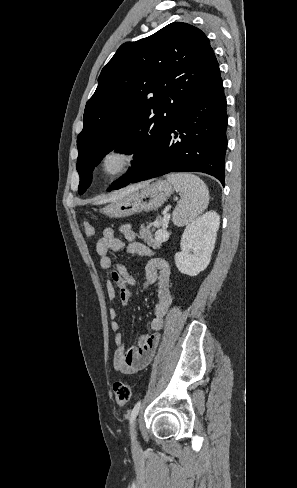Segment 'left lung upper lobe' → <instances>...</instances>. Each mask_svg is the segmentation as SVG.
<instances>
[{"label":"left lung upper lobe","instance_id":"1","mask_svg":"<svg viewBox=\"0 0 297 488\" xmlns=\"http://www.w3.org/2000/svg\"><path fill=\"white\" fill-rule=\"evenodd\" d=\"M217 59L198 28L171 23L155 34L122 44L102 69L98 87L84 111L77 137L79 193L109 151L138 155L126 174L109 189L136 176L182 112L219 78Z\"/></svg>","mask_w":297,"mask_h":488}]
</instances>
